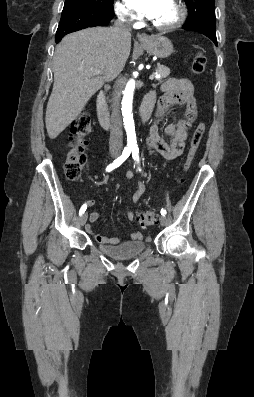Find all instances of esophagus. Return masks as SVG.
Returning <instances> with one entry per match:
<instances>
[{"mask_svg":"<svg viewBox=\"0 0 254 397\" xmlns=\"http://www.w3.org/2000/svg\"><path fill=\"white\" fill-rule=\"evenodd\" d=\"M137 38H138L139 42H141V43L148 42L149 39H150L149 36L147 34H145V33L137 34Z\"/></svg>","mask_w":254,"mask_h":397,"instance_id":"obj_1","label":"esophagus"}]
</instances>
